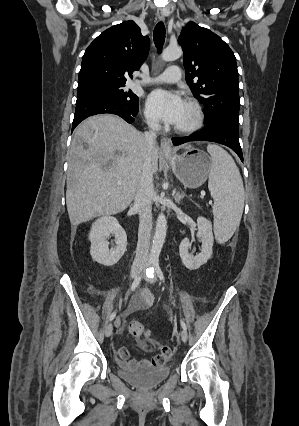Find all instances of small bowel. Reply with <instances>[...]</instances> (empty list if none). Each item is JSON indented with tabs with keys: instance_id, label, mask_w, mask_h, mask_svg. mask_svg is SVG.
Masks as SVG:
<instances>
[{
	"instance_id": "small-bowel-1",
	"label": "small bowel",
	"mask_w": 299,
	"mask_h": 426,
	"mask_svg": "<svg viewBox=\"0 0 299 426\" xmlns=\"http://www.w3.org/2000/svg\"><path fill=\"white\" fill-rule=\"evenodd\" d=\"M152 303L153 297L149 293V291H140L131 301L128 310L117 319V327H120L122 325L123 319L128 313L148 309L152 305ZM137 345L143 350H148L146 344L143 341H138ZM170 356L171 352L167 353L162 350L160 354L150 359L136 360L130 358L129 351L126 347L120 346L116 349L117 363L122 369L125 370L160 367L169 360Z\"/></svg>"
}]
</instances>
